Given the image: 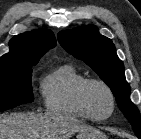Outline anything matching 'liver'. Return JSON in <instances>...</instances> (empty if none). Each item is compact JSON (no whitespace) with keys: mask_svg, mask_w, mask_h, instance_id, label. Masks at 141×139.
<instances>
[{"mask_svg":"<svg viewBox=\"0 0 141 139\" xmlns=\"http://www.w3.org/2000/svg\"><path fill=\"white\" fill-rule=\"evenodd\" d=\"M88 128L74 116L59 112L0 115V139H70Z\"/></svg>","mask_w":141,"mask_h":139,"instance_id":"6515ba94","label":"liver"}]
</instances>
